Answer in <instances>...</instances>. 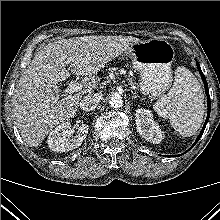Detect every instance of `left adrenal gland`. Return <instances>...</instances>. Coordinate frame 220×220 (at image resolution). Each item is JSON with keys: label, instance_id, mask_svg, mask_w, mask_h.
I'll use <instances>...</instances> for the list:
<instances>
[{"label": "left adrenal gland", "instance_id": "obj_1", "mask_svg": "<svg viewBox=\"0 0 220 220\" xmlns=\"http://www.w3.org/2000/svg\"><path fill=\"white\" fill-rule=\"evenodd\" d=\"M131 93L133 94L132 98H134V99L139 98V96L136 94V92L131 91Z\"/></svg>", "mask_w": 220, "mask_h": 220}]
</instances>
